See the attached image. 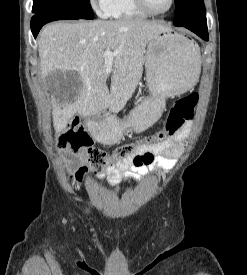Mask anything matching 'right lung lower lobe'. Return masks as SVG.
I'll return each mask as SVG.
<instances>
[{"label":"right lung lower lobe","instance_id":"1","mask_svg":"<svg viewBox=\"0 0 247 275\" xmlns=\"http://www.w3.org/2000/svg\"><path fill=\"white\" fill-rule=\"evenodd\" d=\"M69 19H81V18L66 16L60 13L35 14L31 19V30H32L33 36L36 38L41 27L48 22L55 21V20H69Z\"/></svg>","mask_w":247,"mask_h":275}]
</instances>
